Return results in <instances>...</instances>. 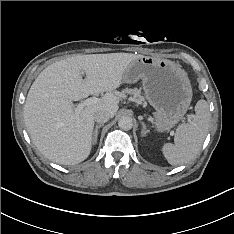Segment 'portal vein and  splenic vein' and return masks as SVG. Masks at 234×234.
Instances as JSON below:
<instances>
[{
	"mask_svg": "<svg viewBox=\"0 0 234 234\" xmlns=\"http://www.w3.org/2000/svg\"><path fill=\"white\" fill-rule=\"evenodd\" d=\"M99 101H100L99 98L90 97V98L86 99L85 101L79 103V104L76 106V111L79 112V111L82 110L84 107L89 106V105L96 104V103H98Z\"/></svg>",
	"mask_w": 234,
	"mask_h": 234,
	"instance_id": "portal-vein-and-splenic-vein-1",
	"label": "portal vein and splenic vein"
}]
</instances>
